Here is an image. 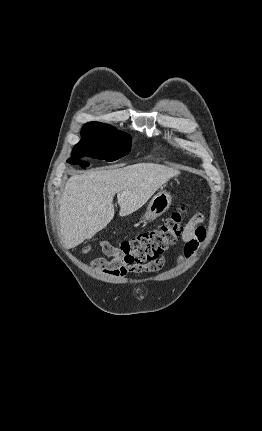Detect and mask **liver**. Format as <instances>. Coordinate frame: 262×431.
<instances>
[{
  "mask_svg": "<svg viewBox=\"0 0 262 431\" xmlns=\"http://www.w3.org/2000/svg\"><path fill=\"white\" fill-rule=\"evenodd\" d=\"M180 171L155 163L90 171L72 176L60 200L59 222L66 248H74L104 229L114 217L117 194L120 216L141 208Z\"/></svg>",
  "mask_w": 262,
  "mask_h": 431,
  "instance_id": "obj_1",
  "label": "liver"
}]
</instances>
